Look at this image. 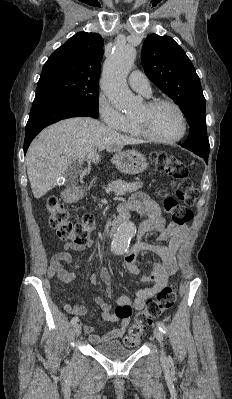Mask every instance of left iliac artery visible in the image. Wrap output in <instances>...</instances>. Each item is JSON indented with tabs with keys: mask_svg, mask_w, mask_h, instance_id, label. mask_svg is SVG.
I'll return each mask as SVG.
<instances>
[{
	"mask_svg": "<svg viewBox=\"0 0 232 399\" xmlns=\"http://www.w3.org/2000/svg\"><path fill=\"white\" fill-rule=\"evenodd\" d=\"M156 325L161 332H163L164 334H168V329L162 322H157Z\"/></svg>",
	"mask_w": 232,
	"mask_h": 399,
	"instance_id": "1",
	"label": "left iliac artery"
}]
</instances>
